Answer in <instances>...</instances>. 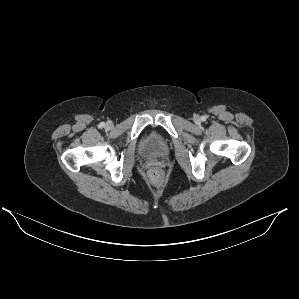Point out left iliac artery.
Returning <instances> with one entry per match:
<instances>
[{"label":"left iliac artery","instance_id":"obj_1","mask_svg":"<svg viewBox=\"0 0 299 299\" xmlns=\"http://www.w3.org/2000/svg\"><path fill=\"white\" fill-rule=\"evenodd\" d=\"M201 120H202V121H205V120H206V117H205V116H202V117H201Z\"/></svg>","mask_w":299,"mask_h":299}]
</instances>
